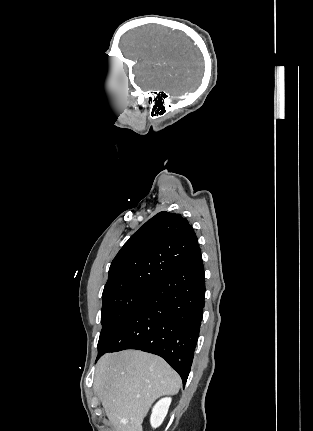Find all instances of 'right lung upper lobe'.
I'll list each match as a JSON object with an SVG mask.
<instances>
[{
	"label": "right lung upper lobe",
	"instance_id": "obj_1",
	"mask_svg": "<svg viewBox=\"0 0 313 431\" xmlns=\"http://www.w3.org/2000/svg\"><path fill=\"white\" fill-rule=\"evenodd\" d=\"M197 244L192 226L180 214H156L129 238L112 261L102 296L155 288Z\"/></svg>",
	"mask_w": 313,
	"mask_h": 431
}]
</instances>
